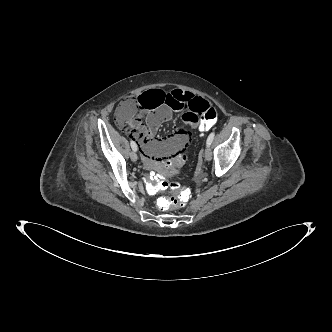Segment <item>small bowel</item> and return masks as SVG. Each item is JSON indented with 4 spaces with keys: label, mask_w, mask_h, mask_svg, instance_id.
Segmentation results:
<instances>
[{
    "label": "small bowel",
    "mask_w": 332,
    "mask_h": 332,
    "mask_svg": "<svg viewBox=\"0 0 332 332\" xmlns=\"http://www.w3.org/2000/svg\"><path fill=\"white\" fill-rule=\"evenodd\" d=\"M209 102L189 91L173 89L167 92L162 88L144 89L137 98L139 114L123 122L118 115L119 123L140 145L143 161L147 166L154 161L165 160L169 154L187 150L191 139L189 131H180L168 138H157L155 135L160 126L171 119L175 111H183V121L192 128H197L199 115L209 107ZM144 118V122L142 119Z\"/></svg>",
    "instance_id": "small-bowel-1"
}]
</instances>
